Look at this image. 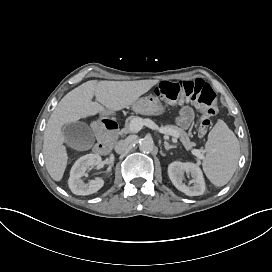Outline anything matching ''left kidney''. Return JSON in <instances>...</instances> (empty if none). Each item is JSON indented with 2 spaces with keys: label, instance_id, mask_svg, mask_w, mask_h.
Masks as SVG:
<instances>
[{
  "label": "left kidney",
  "instance_id": "1",
  "mask_svg": "<svg viewBox=\"0 0 272 272\" xmlns=\"http://www.w3.org/2000/svg\"><path fill=\"white\" fill-rule=\"evenodd\" d=\"M168 174L174 186L189 196L202 195L205 184L200 169L191 163H171L168 167ZM190 176L189 186L183 183L184 175Z\"/></svg>",
  "mask_w": 272,
  "mask_h": 272
}]
</instances>
